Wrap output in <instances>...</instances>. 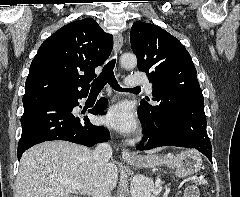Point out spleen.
I'll return each instance as SVG.
<instances>
[{"label": "spleen", "mask_w": 240, "mask_h": 197, "mask_svg": "<svg viewBox=\"0 0 240 197\" xmlns=\"http://www.w3.org/2000/svg\"><path fill=\"white\" fill-rule=\"evenodd\" d=\"M150 194H151V189H149L148 196H145V197H149Z\"/></svg>", "instance_id": "1"}]
</instances>
